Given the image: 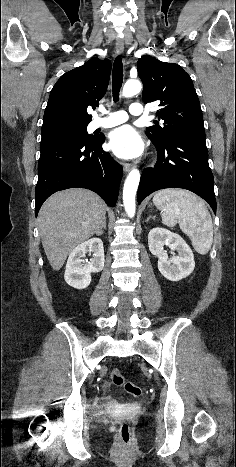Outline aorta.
Returning a JSON list of instances; mask_svg holds the SVG:
<instances>
[{"label":"aorta","instance_id":"obj_1","mask_svg":"<svg viewBox=\"0 0 236 467\" xmlns=\"http://www.w3.org/2000/svg\"><path fill=\"white\" fill-rule=\"evenodd\" d=\"M142 89V84L139 80H128L122 91L124 97H131L138 94ZM140 181V172L138 169H133L128 174L123 188V205L127 215L132 218L135 215L136 204L135 196Z\"/></svg>","mask_w":236,"mask_h":467}]
</instances>
